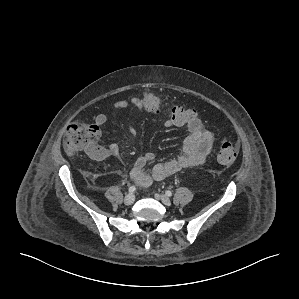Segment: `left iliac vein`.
<instances>
[{
  "label": "left iliac vein",
  "instance_id": "left-iliac-vein-1",
  "mask_svg": "<svg viewBox=\"0 0 299 299\" xmlns=\"http://www.w3.org/2000/svg\"><path fill=\"white\" fill-rule=\"evenodd\" d=\"M156 197L162 201L163 204L170 206L171 205V200L169 197L163 194H156Z\"/></svg>",
  "mask_w": 299,
  "mask_h": 299
}]
</instances>
